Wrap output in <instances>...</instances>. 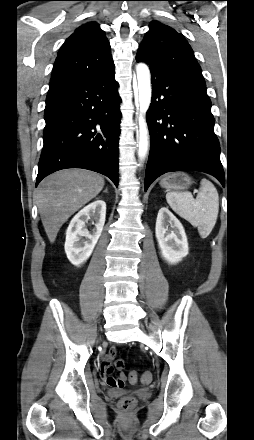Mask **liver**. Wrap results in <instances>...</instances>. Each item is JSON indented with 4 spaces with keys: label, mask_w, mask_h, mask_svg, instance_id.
<instances>
[{
    "label": "liver",
    "mask_w": 254,
    "mask_h": 440,
    "mask_svg": "<svg viewBox=\"0 0 254 440\" xmlns=\"http://www.w3.org/2000/svg\"><path fill=\"white\" fill-rule=\"evenodd\" d=\"M104 183L101 175L85 169L60 170L41 181L36 191V202L51 243L68 218L95 198Z\"/></svg>",
    "instance_id": "obj_1"
}]
</instances>
